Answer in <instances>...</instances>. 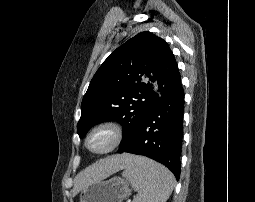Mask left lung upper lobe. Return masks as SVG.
<instances>
[{
    "label": "left lung upper lobe",
    "instance_id": "obj_1",
    "mask_svg": "<svg viewBox=\"0 0 255 202\" xmlns=\"http://www.w3.org/2000/svg\"><path fill=\"white\" fill-rule=\"evenodd\" d=\"M181 86L178 65L168 44L151 32H141L117 48L92 78L81 104L80 138L103 121L124 127L122 150L150 110Z\"/></svg>",
    "mask_w": 255,
    "mask_h": 202
}]
</instances>
